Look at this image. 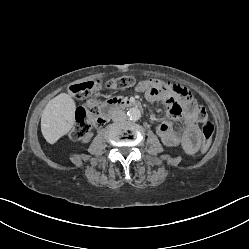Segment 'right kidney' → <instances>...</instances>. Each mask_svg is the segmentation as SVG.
Instances as JSON below:
<instances>
[{
	"label": "right kidney",
	"instance_id": "right-kidney-1",
	"mask_svg": "<svg viewBox=\"0 0 249 249\" xmlns=\"http://www.w3.org/2000/svg\"><path fill=\"white\" fill-rule=\"evenodd\" d=\"M95 135H96V132H95L94 130H91V131L89 132V135H87V136L84 138L83 142L86 143V144H89V143L91 142V140H92V137H94Z\"/></svg>",
	"mask_w": 249,
	"mask_h": 249
}]
</instances>
